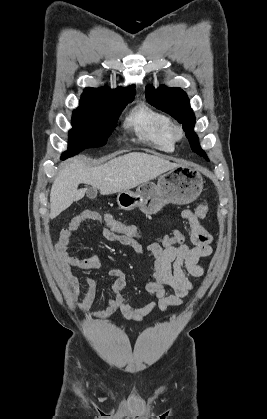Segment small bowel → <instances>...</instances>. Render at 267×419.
<instances>
[{
	"label": "small bowel",
	"mask_w": 267,
	"mask_h": 419,
	"mask_svg": "<svg viewBox=\"0 0 267 419\" xmlns=\"http://www.w3.org/2000/svg\"><path fill=\"white\" fill-rule=\"evenodd\" d=\"M181 216L190 227V240L193 244L189 247L183 241L177 246H164L161 244L143 246L135 245L131 248L138 254L149 252L155 259L153 280L149 281L145 290L153 299L142 307H133L123 294L126 286V274L121 269H111L109 276L113 278L111 291L113 296L108 300L107 307L97 312H89L97 298L96 282L93 278L87 279V287L83 288L74 269L93 270L100 266L97 256L79 257L69 250L70 241L74 234L87 222H101V216L96 211L85 210L71 219L69 224L61 230L55 243L54 254L58 271L70 291L73 300L82 296L78 308L92 320L109 318L116 312L128 320L142 321L155 309L167 311L173 306H179L183 299L193 288L189 278L201 277L204 269L200 260L212 254V236L201 225L199 218L191 210H183ZM177 232V231H175ZM101 236L112 242H119L118 237L107 228L100 231ZM168 288L171 293H166Z\"/></svg>",
	"instance_id": "c3829d8e"
}]
</instances>
